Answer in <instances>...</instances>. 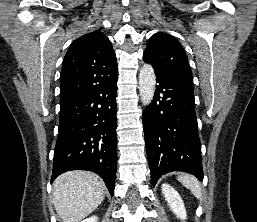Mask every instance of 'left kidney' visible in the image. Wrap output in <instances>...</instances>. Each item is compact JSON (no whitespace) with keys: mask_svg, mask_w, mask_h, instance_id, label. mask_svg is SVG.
I'll return each instance as SVG.
<instances>
[{"mask_svg":"<svg viewBox=\"0 0 257 222\" xmlns=\"http://www.w3.org/2000/svg\"><path fill=\"white\" fill-rule=\"evenodd\" d=\"M162 193L165 196V200L173 213L180 219H186V210L184 203L178 194V192L172 188L169 184H162Z\"/></svg>","mask_w":257,"mask_h":222,"instance_id":"left-kidney-1","label":"left kidney"}]
</instances>
